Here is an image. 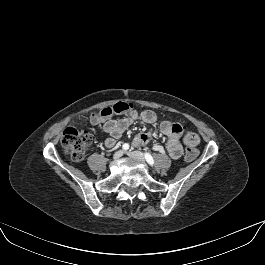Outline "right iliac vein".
Instances as JSON below:
<instances>
[{"label": "right iliac vein", "mask_w": 265, "mask_h": 265, "mask_svg": "<svg viewBox=\"0 0 265 265\" xmlns=\"http://www.w3.org/2000/svg\"><path fill=\"white\" fill-rule=\"evenodd\" d=\"M122 155H123V151L122 150H119V151H117V152L114 153L113 159L114 160H118L120 157H122Z\"/></svg>", "instance_id": "right-iliac-vein-1"}]
</instances>
